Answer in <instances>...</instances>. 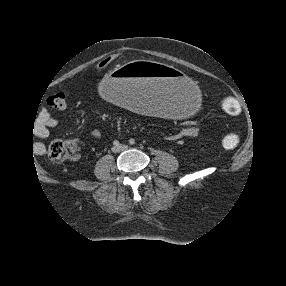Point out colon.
<instances>
[{
	"instance_id": "5ec220e1",
	"label": "colon",
	"mask_w": 286,
	"mask_h": 286,
	"mask_svg": "<svg viewBox=\"0 0 286 286\" xmlns=\"http://www.w3.org/2000/svg\"><path fill=\"white\" fill-rule=\"evenodd\" d=\"M112 62L113 59L109 57L100 63L99 68L101 70H107L111 66ZM67 97L68 95L65 91H60L51 95L48 98L47 103L55 110H62L66 107ZM221 108L226 114L231 116H239L242 111L239 101L232 97L224 98L221 101ZM221 143L225 149H235L240 144V136L235 132H228L223 136ZM47 153L49 158L55 162H61L69 156L67 146L60 141L52 142L48 147Z\"/></svg>"
}]
</instances>
